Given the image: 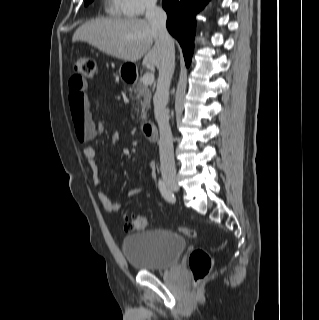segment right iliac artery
Here are the masks:
<instances>
[{
  "mask_svg": "<svg viewBox=\"0 0 319 320\" xmlns=\"http://www.w3.org/2000/svg\"><path fill=\"white\" fill-rule=\"evenodd\" d=\"M159 189L163 198L171 203L175 202V196L172 191L164 184L162 180H159Z\"/></svg>",
  "mask_w": 319,
  "mask_h": 320,
  "instance_id": "82829eb1",
  "label": "right iliac artery"
}]
</instances>
